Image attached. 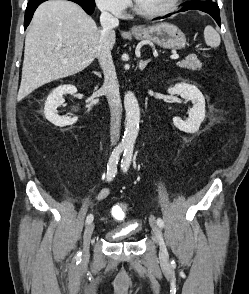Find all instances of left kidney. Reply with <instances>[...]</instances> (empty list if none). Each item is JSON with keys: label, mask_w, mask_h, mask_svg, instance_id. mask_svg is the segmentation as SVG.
Returning a JSON list of instances; mask_svg holds the SVG:
<instances>
[{"label": "left kidney", "mask_w": 249, "mask_h": 294, "mask_svg": "<svg viewBox=\"0 0 249 294\" xmlns=\"http://www.w3.org/2000/svg\"><path fill=\"white\" fill-rule=\"evenodd\" d=\"M167 91L169 94L180 95L186 101L193 103L188 119L182 120L179 117H174V125L186 133L197 132L205 118V98L203 94L196 86L187 83H178L173 87H169Z\"/></svg>", "instance_id": "1"}]
</instances>
